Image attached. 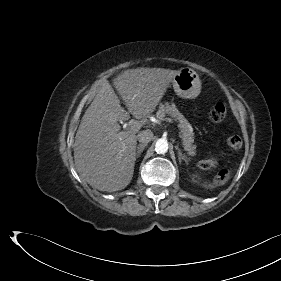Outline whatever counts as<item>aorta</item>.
I'll return each instance as SVG.
<instances>
[{
  "mask_svg": "<svg viewBox=\"0 0 281 281\" xmlns=\"http://www.w3.org/2000/svg\"><path fill=\"white\" fill-rule=\"evenodd\" d=\"M155 150L159 154H164L168 151V142L165 139H158L155 144Z\"/></svg>",
  "mask_w": 281,
  "mask_h": 281,
  "instance_id": "obj_1",
  "label": "aorta"
}]
</instances>
